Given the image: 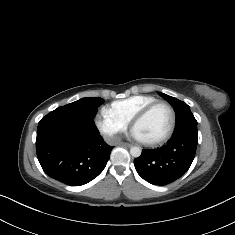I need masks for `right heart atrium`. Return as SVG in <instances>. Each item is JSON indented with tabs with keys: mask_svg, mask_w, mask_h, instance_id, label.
<instances>
[{
	"mask_svg": "<svg viewBox=\"0 0 235 235\" xmlns=\"http://www.w3.org/2000/svg\"><path fill=\"white\" fill-rule=\"evenodd\" d=\"M94 122L98 130L112 143L118 142L119 136L127 129V124L115 116L110 107L106 105L99 108L95 114Z\"/></svg>",
	"mask_w": 235,
	"mask_h": 235,
	"instance_id": "right-heart-atrium-1",
	"label": "right heart atrium"
}]
</instances>
